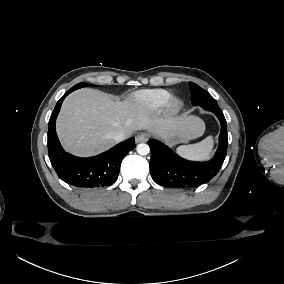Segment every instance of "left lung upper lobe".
<instances>
[{
    "label": "left lung upper lobe",
    "mask_w": 284,
    "mask_h": 284,
    "mask_svg": "<svg viewBox=\"0 0 284 284\" xmlns=\"http://www.w3.org/2000/svg\"><path fill=\"white\" fill-rule=\"evenodd\" d=\"M192 104L197 106L203 103H215L214 98L204 89L193 82H189Z\"/></svg>",
    "instance_id": "5c2ea615"
}]
</instances>
